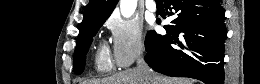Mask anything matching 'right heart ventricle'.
I'll return each mask as SVG.
<instances>
[{"instance_id":"e07e8e85","label":"right heart ventricle","mask_w":260,"mask_h":84,"mask_svg":"<svg viewBox=\"0 0 260 84\" xmlns=\"http://www.w3.org/2000/svg\"><path fill=\"white\" fill-rule=\"evenodd\" d=\"M94 67L97 71L104 72L112 69L113 64L105 46L101 45L94 58Z\"/></svg>"}]
</instances>
